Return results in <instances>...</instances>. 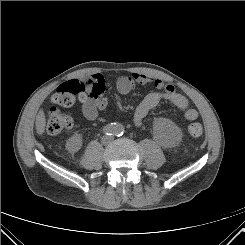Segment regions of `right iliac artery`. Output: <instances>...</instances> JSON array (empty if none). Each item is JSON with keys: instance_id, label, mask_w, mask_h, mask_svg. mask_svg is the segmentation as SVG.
<instances>
[{"instance_id": "1", "label": "right iliac artery", "mask_w": 245, "mask_h": 245, "mask_svg": "<svg viewBox=\"0 0 245 245\" xmlns=\"http://www.w3.org/2000/svg\"><path fill=\"white\" fill-rule=\"evenodd\" d=\"M115 131H116L115 123H114V125H113V123L108 124V125H106V126L103 128V132H104L106 135H114V134H115Z\"/></svg>"}]
</instances>
